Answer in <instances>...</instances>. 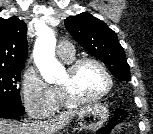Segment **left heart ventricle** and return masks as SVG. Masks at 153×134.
Segmentation results:
<instances>
[{
  "mask_svg": "<svg viewBox=\"0 0 153 134\" xmlns=\"http://www.w3.org/2000/svg\"><path fill=\"white\" fill-rule=\"evenodd\" d=\"M68 71L64 73L59 81V84H64L68 81ZM73 89L76 94L89 97L102 92L107 86V79L102 70L92 63L84 64L79 68L73 77Z\"/></svg>",
  "mask_w": 153,
  "mask_h": 134,
  "instance_id": "left-heart-ventricle-1",
  "label": "left heart ventricle"
}]
</instances>
